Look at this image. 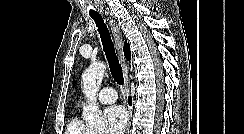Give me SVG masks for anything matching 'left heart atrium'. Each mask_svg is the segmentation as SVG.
<instances>
[{
	"label": "left heart atrium",
	"mask_w": 244,
	"mask_h": 134,
	"mask_svg": "<svg viewBox=\"0 0 244 134\" xmlns=\"http://www.w3.org/2000/svg\"><path fill=\"white\" fill-rule=\"evenodd\" d=\"M104 116L107 122L108 134H122L127 124V112L124 107L120 105H114L108 107Z\"/></svg>",
	"instance_id": "obj_1"
}]
</instances>
